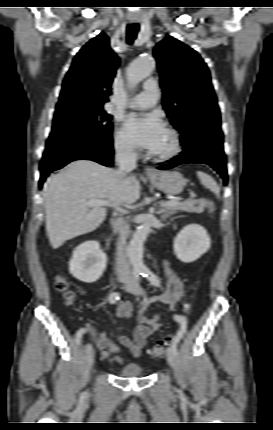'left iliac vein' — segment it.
Segmentation results:
<instances>
[{"label":"left iliac vein","mask_w":273,"mask_h":430,"mask_svg":"<svg viewBox=\"0 0 273 430\" xmlns=\"http://www.w3.org/2000/svg\"><path fill=\"white\" fill-rule=\"evenodd\" d=\"M125 288L128 292L136 295V296H140L143 294V290L141 288V286L135 282L134 280H129L127 282V284L125 285ZM166 357H167V362L169 363V365L171 367L175 366V353L173 352L172 348H168L166 351Z\"/></svg>","instance_id":"left-iliac-vein-1"}]
</instances>
